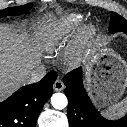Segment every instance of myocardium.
I'll use <instances>...</instances> for the list:
<instances>
[{"instance_id":"1","label":"myocardium","mask_w":127,"mask_h":127,"mask_svg":"<svg viewBox=\"0 0 127 127\" xmlns=\"http://www.w3.org/2000/svg\"><path fill=\"white\" fill-rule=\"evenodd\" d=\"M96 31V26L89 24L85 26L78 34L76 38V43L74 46L72 63H76L79 57L82 55L84 48L86 47L88 41L94 35Z\"/></svg>"}]
</instances>
